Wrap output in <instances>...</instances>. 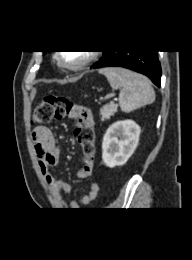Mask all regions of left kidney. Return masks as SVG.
<instances>
[{
    "instance_id": "left-kidney-1",
    "label": "left kidney",
    "mask_w": 192,
    "mask_h": 260,
    "mask_svg": "<svg viewBox=\"0 0 192 260\" xmlns=\"http://www.w3.org/2000/svg\"><path fill=\"white\" fill-rule=\"evenodd\" d=\"M140 132V126L132 120L117 121L110 125L102 142L105 165L110 168L124 165L138 145Z\"/></svg>"
}]
</instances>
